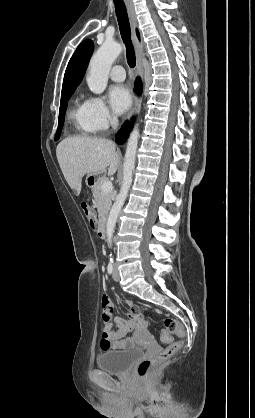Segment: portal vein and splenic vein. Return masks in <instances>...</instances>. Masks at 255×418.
<instances>
[{
	"label": "portal vein and splenic vein",
	"mask_w": 255,
	"mask_h": 418,
	"mask_svg": "<svg viewBox=\"0 0 255 418\" xmlns=\"http://www.w3.org/2000/svg\"><path fill=\"white\" fill-rule=\"evenodd\" d=\"M113 189V184H112V182H110V181H105L103 184H102V187H101V190H102V192L103 193H108V192H110L111 190Z\"/></svg>",
	"instance_id": "18ae733b"
}]
</instances>
